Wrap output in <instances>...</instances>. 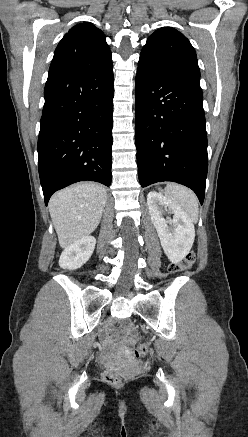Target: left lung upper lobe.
Instances as JSON below:
<instances>
[{"label": "left lung upper lobe", "mask_w": 248, "mask_h": 437, "mask_svg": "<svg viewBox=\"0 0 248 437\" xmlns=\"http://www.w3.org/2000/svg\"><path fill=\"white\" fill-rule=\"evenodd\" d=\"M138 68L200 87L195 50L182 33L170 27L161 28L148 37Z\"/></svg>", "instance_id": "obj_1"}]
</instances>
